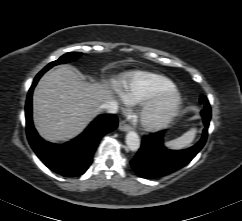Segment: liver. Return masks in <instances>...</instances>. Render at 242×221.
Instances as JSON below:
<instances>
[{
  "mask_svg": "<svg viewBox=\"0 0 242 221\" xmlns=\"http://www.w3.org/2000/svg\"><path fill=\"white\" fill-rule=\"evenodd\" d=\"M113 95L107 82L90 83L68 66L46 72L33 94L35 127L50 142L78 136Z\"/></svg>",
  "mask_w": 242,
  "mask_h": 221,
  "instance_id": "1",
  "label": "liver"
}]
</instances>
